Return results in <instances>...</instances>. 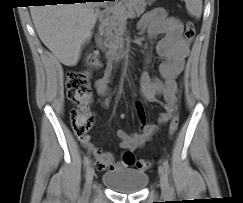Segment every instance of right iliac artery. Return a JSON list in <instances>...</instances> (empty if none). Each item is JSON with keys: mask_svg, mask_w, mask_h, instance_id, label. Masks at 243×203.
I'll return each instance as SVG.
<instances>
[{"mask_svg": "<svg viewBox=\"0 0 243 203\" xmlns=\"http://www.w3.org/2000/svg\"><path fill=\"white\" fill-rule=\"evenodd\" d=\"M90 165V158L89 156L84 157V167L87 168Z\"/></svg>", "mask_w": 243, "mask_h": 203, "instance_id": "82829eb1", "label": "right iliac artery"}]
</instances>
